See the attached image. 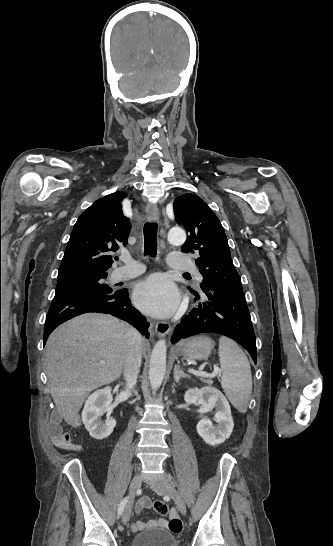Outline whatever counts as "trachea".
Wrapping results in <instances>:
<instances>
[{
    "instance_id": "obj_1",
    "label": "trachea",
    "mask_w": 333,
    "mask_h": 546,
    "mask_svg": "<svg viewBox=\"0 0 333 546\" xmlns=\"http://www.w3.org/2000/svg\"><path fill=\"white\" fill-rule=\"evenodd\" d=\"M144 251L149 256L157 254V223L146 222L144 225ZM188 275V273H185Z\"/></svg>"
}]
</instances>
